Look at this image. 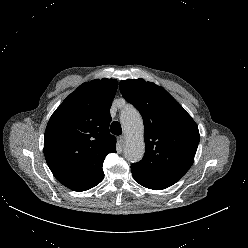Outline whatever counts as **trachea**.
<instances>
[{"label": "trachea", "instance_id": "1", "mask_svg": "<svg viewBox=\"0 0 248 248\" xmlns=\"http://www.w3.org/2000/svg\"><path fill=\"white\" fill-rule=\"evenodd\" d=\"M110 131L114 135H121L122 134V128L119 122L114 121L110 126Z\"/></svg>", "mask_w": 248, "mask_h": 248}]
</instances>
